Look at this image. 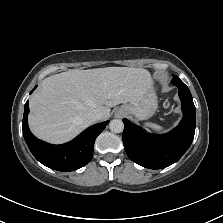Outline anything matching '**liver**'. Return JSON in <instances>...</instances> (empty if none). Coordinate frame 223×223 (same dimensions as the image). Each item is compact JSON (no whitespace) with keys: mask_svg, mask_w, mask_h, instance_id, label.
<instances>
[{"mask_svg":"<svg viewBox=\"0 0 223 223\" xmlns=\"http://www.w3.org/2000/svg\"><path fill=\"white\" fill-rule=\"evenodd\" d=\"M152 84L143 68L106 67L52 75L29 100L30 129L44 141L64 143L93 124L88 118L92 110H100L102 119H107L111 107L140 100Z\"/></svg>","mask_w":223,"mask_h":223,"instance_id":"liver-1","label":"liver"}]
</instances>
